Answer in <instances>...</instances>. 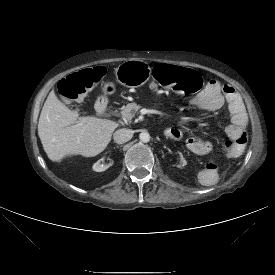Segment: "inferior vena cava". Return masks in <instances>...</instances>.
<instances>
[{
	"label": "inferior vena cava",
	"instance_id": "inferior-vena-cava-1",
	"mask_svg": "<svg viewBox=\"0 0 275 275\" xmlns=\"http://www.w3.org/2000/svg\"><path fill=\"white\" fill-rule=\"evenodd\" d=\"M133 133V130L123 128L115 131L113 138L116 143L123 144L132 138Z\"/></svg>",
	"mask_w": 275,
	"mask_h": 275
}]
</instances>
